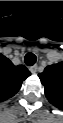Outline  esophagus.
Wrapping results in <instances>:
<instances>
[{
  "label": "esophagus",
  "instance_id": "34e87169",
  "mask_svg": "<svg viewBox=\"0 0 63 123\" xmlns=\"http://www.w3.org/2000/svg\"><path fill=\"white\" fill-rule=\"evenodd\" d=\"M37 69H38V66L37 65H33V66L30 67V71L32 73H36L37 72Z\"/></svg>",
  "mask_w": 63,
  "mask_h": 123
}]
</instances>
